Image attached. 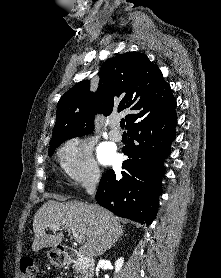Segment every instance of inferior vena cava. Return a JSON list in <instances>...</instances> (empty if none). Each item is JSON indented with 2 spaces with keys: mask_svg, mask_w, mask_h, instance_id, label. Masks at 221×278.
Wrapping results in <instances>:
<instances>
[{
  "mask_svg": "<svg viewBox=\"0 0 221 278\" xmlns=\"http://www.w3.org/2000/svg\"><path fill=\"white\" fill-rule=\"evenodd\" d=\"M99 179H100L99 172L98 171H94L91 174V176H90V178H89V180H88V182H87V184L85 186L86 187V191H87L88 194L93 195L96 192V188H97V185L99 183Z\"/></svg>",
  "mask_w": 221,
  "mask_h": 278,
  "instance_id": "inferior-vena-cava-1",
  "label": "inferior vena cava"
}]
</instances>
